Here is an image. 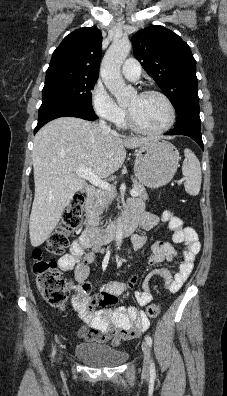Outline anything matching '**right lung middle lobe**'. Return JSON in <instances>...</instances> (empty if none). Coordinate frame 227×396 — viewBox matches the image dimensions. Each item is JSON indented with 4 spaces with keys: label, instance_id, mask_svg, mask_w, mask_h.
I'll use <instances>...</instances> for the list:
<instances>
[{
    "label": "right lung middle lobe",
    "instance_id": "1",
    "mask_svg": "<svg viewBox=\"0 0 227 396\" xmlns=\"http://www.w3.org/2000/svg\"><path fill=\"white\" fill-rule=\"evenodd\" d=\"M98 77L64 71L46 72L42 105L65 101L94 112L91 90Z\"/></svg>",
    "mask_w": 227,
    "mask_h": 396
}]
</instances>
